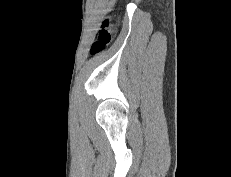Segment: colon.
Returning a JSON list of instances; mask_svg holds the SVG:
<instances>
[{"label": "colon", "instance_id": "colon-1", "mask_svg": "<svg viewBox=\"0 0 231 177\" xmlns=\"http://www.w3.org/2000/svg\"><path fill=\"white\" fill-rule=\"evenodd\" d=\"M113 36V30L108 20L104 21L102 27L99 30L98 38L92 46V53H98L102 51L111 41Z\"/></svg>", "mask_w": 231, "mask_h": 177}]
</instances>
